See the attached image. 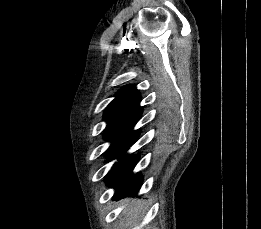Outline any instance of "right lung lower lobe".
<instances>
[{"label": "right lung lower lobe", "instance_id": "obj_1", "mask_svg": "<svg viewBox=\"0 0 261 229\" xmlns=\"http://www.w3.org/2000/svg\"><path fill=\"white\" fill-rule=\"evenodd\" d=\"M138 159V155L124 158L108 174L106 178L108 185L115 187L113 199L117 200L127 195H134L139 191L143 182L142 177L132 173Z\"/></svg>", "mask_w": 261, "mask_h": 229}]
</instances>
